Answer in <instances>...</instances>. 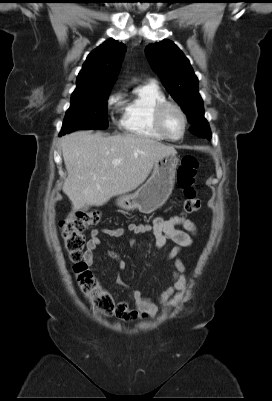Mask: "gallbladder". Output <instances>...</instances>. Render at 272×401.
Masks as SVG:
<instances>
[{
  "label": "gallbladder",
  "instance_id": "1",
  "mask_svg": "<svg viewBox=\"0 0 272 401\" xmlns=\"http://www.w3.org/2000/svg\"><path fill=\"white\" fill-rule=\"evenodd\" d=\"M89 207H90L89 205H85V206L82 207L81 210L82 211H87V210H89Z\"/></svg>",
  "mask_w": 272,
  "mask_h": 401
}]
</instances>
